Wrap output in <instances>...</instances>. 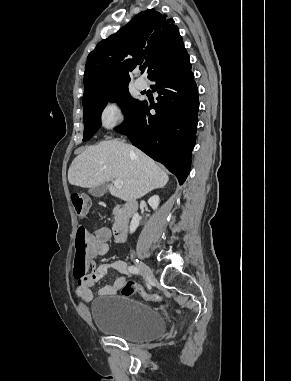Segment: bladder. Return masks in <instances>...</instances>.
Masks as SVG:
<instances>
[{"label": "bladder", "instance_id": "obj_1", "mask_svg": "<svg viewBox=\"0 0 291 381\" xmlns=\"http://www.w3.org/2000/svg\"><path fill=\"white\" fill-rule=\"evenodd\" d=\"M96 328L132 342H149L166 330L162 315L147 303L129 296L97 298L91 306Z\"/></svg>", "mask_w": 291, "mask_h": 381}]
</instances>
